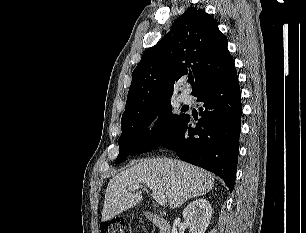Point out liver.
Masks as SVG:
<instances>
[{
	"instance_id": "1",
	"label": "liver",
	"mask_w": 306,
	"mask_h": 233,
	"mask_svg": "<svg viewBox=\"0 0 306 233\" xmlns=\"http://www.w3.org/2000/svg\"><path fill=\"white\" fill-rule=\"evenodd\" d=\"M215 183L214 176L204 169L180 160L168 158L145 159L114 176L106 189L102 221L132 208L142 200L139 193L129 187L147 186L164 194L171 209L188 199L209 192Z\"/></svg>"
}]
</instances>
